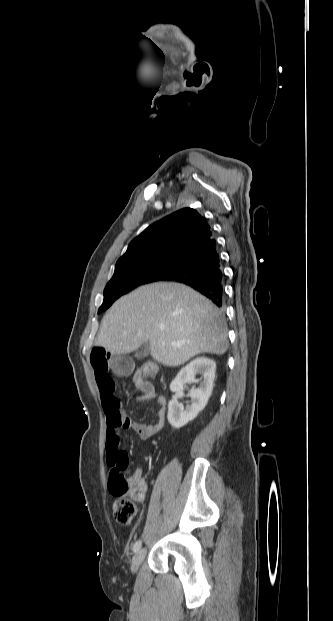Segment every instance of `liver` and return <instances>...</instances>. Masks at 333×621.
<instances>
[{
	"label": "liver",
	"instance_id": "6515ba94",
	"mask_svg": "<svg viewBox=\"0 0 333 621\" xmlns=\"http://www.w3.org/2000/svg\"><path fill=\"white\" fill-rule=\"evenodd\" d=\"M147 341L153 359L167 366L200 353L222 355L228 348L220 310L179 283H154L121 297L104 316L96 345L124 355Z\"/></svg>",
	"mask_w": 333,
	"mask_h": 621
}]
</instances>
